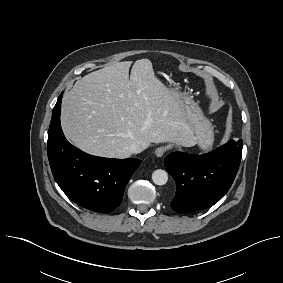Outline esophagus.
Masks as SVG:
<instances>
[{
  "label": "esophagus",
  "instance_id": "1",
  "mask_svg": "<svg viewBox=\"0 0 283 283\" xmlns=\"http://www.w3.org/2000/svg\"><path fill=\"white\" fill-rule=\"evenodd\" d=\"M167 151V148L162 146V147H158L156 150H155V155L157 157H162Z\"/></svg>",
  "mask_w": 283,
  "mask_h": 283
}]
</instances>
